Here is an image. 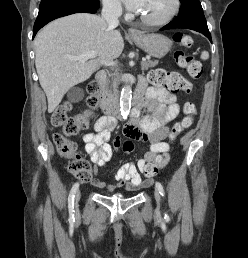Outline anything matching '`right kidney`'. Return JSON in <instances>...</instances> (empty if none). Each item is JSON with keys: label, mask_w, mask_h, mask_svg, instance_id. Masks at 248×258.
<instances>
[{"label": "right kidney", "mask_w": 248, "mask_h": 258, "mask_svg": "<svg viewBox=\"0 0 248 258\" xmlns=\"http://www.w3.org/2000/svg\"><path fill=\"white\" fill-rule=\"evenodd\" d=\"M83 97V92L80 89H74L69 93L71 100H80Z\"/></svg>", "instance_id": "ca27d5eb"}]
</instances>
